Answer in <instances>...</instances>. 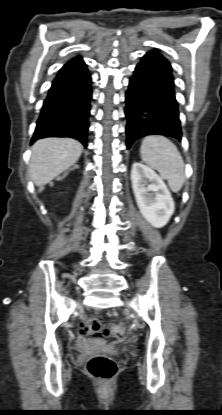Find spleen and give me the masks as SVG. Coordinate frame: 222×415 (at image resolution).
Masks as SVG:
<instances>
[{"mask_svg":"<svg viewBox=\"0 0 222 415\" xmlns=\"http://www.w3.org/2000/svg\"><path fill=\"white\" fill-rule=\"evenodd\" d=\"M140 155L142 161L156 169L167 180L170 189L178 192L185 182L184 162L174 143L161 135L143 139Z\"/></svg>","mask_w":222,"mask_h":415,"instance_id":"3e777b00","label":"spleen"}]
</instances>
